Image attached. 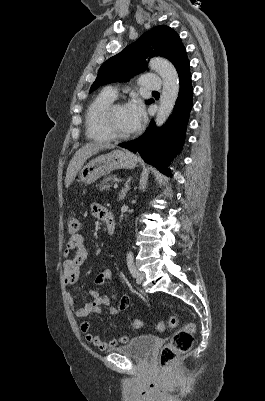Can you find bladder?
<instances>
[{"mask_svg": "<svg viewBox=\"0 0 265 401\" xmlns=\"http://www.w3.org/2000/svg\"><path fill=\"white\" fill-rule=\"evenodd\" d=\"M155 340L150 335L134 336L131 341L121 348L111 349L113 352H119L123 356L134 358H147L150 350L154 347Z\"/></svg>", "mask_w": 265, "mask_h": 401, "instance_id": "bladder-1", "label": "bladder"}]
</instances>
